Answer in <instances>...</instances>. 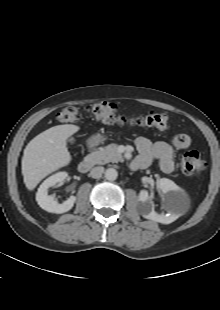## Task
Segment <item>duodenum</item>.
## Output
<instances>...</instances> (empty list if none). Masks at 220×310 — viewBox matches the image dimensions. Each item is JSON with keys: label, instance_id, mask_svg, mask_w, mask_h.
I'll use <instances>...</instances> for the list:
<instances>
[{"label": "duodenum", "instance_id": "duodenum-1", "mask_svg": "<svg viewBox=\"0 0 220 310\" xmlns=\"http://www.w3.org/2000/svg\"><path fill=\"white\" fill-rule=\"evenodd\" d=\"M94 165V159L93 158H86L84 160H82L79 165H78V170L81 173H88L91 168Z\"/></svg>", "mask_w": 220, "mask_h": 310}]
</instances>
